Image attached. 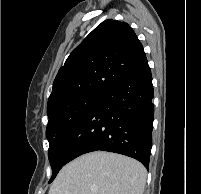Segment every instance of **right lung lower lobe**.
Segmentation results:
<instances>
[{"mask_svg":"<svg viewBox=\"0 0 201 194\" xmlns=\"http://www.w3.org/2000/svg\"><path fill=\"white\" fill-rule=\"evenodd\" d=\"M153 97L151 70L145 59L109 88L65 134L53 154L58 169L82 154L97 150L135 158L149 169Z\"/></svg>","mask_w":201,"mask_h":194,"instance_id":"98d812e1","label":"right lung lower lobe"}]
</instances>
